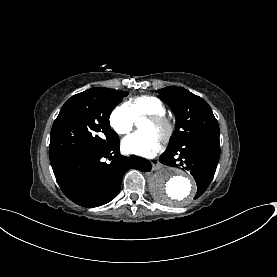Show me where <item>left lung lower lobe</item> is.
Here are the masks:
<instances>
[{
	"label": "left lung lower lobe",
	"mask_w": 277,
	"mask_h": 277,
	"mask_svg": "<svg viewBox=\"0 0 277 277\" xmlns=\"http://www.w3.org/2000/svg\"><path fill=\"white\" fill-rule=\"evenodd\" d=\"M219 155V133H210L188 139L177 148H167L159 160L167 166L190 170L197 183V198L211 183Z\"/></svg>",
	"instance_id": "left-lung-lower-lobe-1"
}]
</instances>
